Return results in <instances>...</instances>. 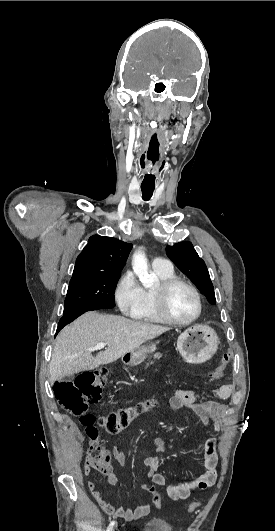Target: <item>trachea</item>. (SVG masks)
Here are the masks:
<instances>
[{
  "mask_svg": "<svg viewBox=\"0 0 275 531\" xmlns=\"http://www.w3.org/2000/svg\"><path fill=\"white\" fill-rule=\"evenodd\" d=\"M143 199L145 201L149 200L153 194L154 187L141 186Z\"/></svg>",
  "mask_w": 275,
  "mask_h": 531,
  "instance_id": "1",
  "label": "trachea"
}]
</instances>
